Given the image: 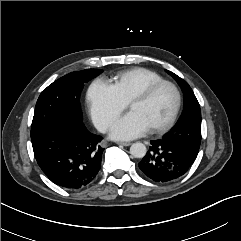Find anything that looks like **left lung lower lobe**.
Wrapping results in <instances>:
<instances>
[{
	"instance_id": "0a47b994",
	"label": "left lung lower lobe",
	"mask_w": 241,
	"mask_h": 241,
	"mask_svg": "<svg viewBox=\"0 0 241 241\" xmlns=\"http://www.w3.org/2000/svg\"><path fill=\"white\" fill-rule=\"evenodd\" d=\"M195 159L175 142L159 139L151 141L149 151L138 165L151 180L169 182L183 176Z\"/></svg>"
}]
</instances>
